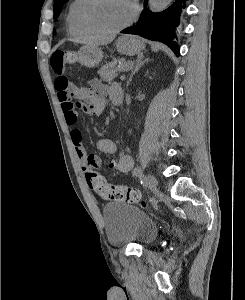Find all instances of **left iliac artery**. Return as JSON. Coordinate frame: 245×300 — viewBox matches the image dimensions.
Returning a JSON list of instances; mask_svg holds the SVG:
<instances>
[{"instance_id":"left-iliac-artery-1","label":"left iliac artery","mask_w":245,"mask_h":300,"mask_svg":"<svg viewBox=\"0 0 245 300\" xmlns=\"http://www.w3.org/2000/svg\"><path fill=\"white\" fill-rule=\"evenodd\" d=\"M133 174L138 176L139 178L143 175L142 170L140 168H135Z\"/></svg>"}]
</instances>
